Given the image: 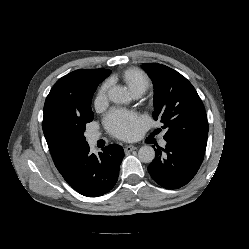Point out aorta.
Wrapping results in <instances>:
<instances>
[{"label":"aorta","instance_id":"1","mask_svg":"<svg viewBox=\"0 0 249 249\" xmlns=\"http://www.w3.org/2000/svg\"><path fill=\"white\" fill-rule=\"evenodd\" d=\"M109 99L116 104H126L130 101L127 90L120 86H114L108 91ZM138 158L141 162L150 163L155 158V151L151 146H142L138 151Z\"/></svg>","mask_w":249,"mask_h":249}]
</instances>
